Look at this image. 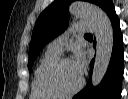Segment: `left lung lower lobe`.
I'll use <instances>...</instances> for the list:
<instances>
[{"label":"left lung lower lobe","mask_w":128,"mask_h":99,"mask_svg":"<svg viewBox=\"0 0 128 99\" xmlns=\"http://www.w3.org/2000/svg\"><path fill=\"white\" fill-rule=\"evenodd\" d=\"M101 8L110 18L114 31V45L110 63L100 85L93 87L90 79L86 87L75 95L73 99H120L121 97L124 50L119 18L115 13L112 0H104ZM93 64L94 59L90 63V73L92 72Z\"/></svg>","instance_id":"obj_1"}]
</instances>
